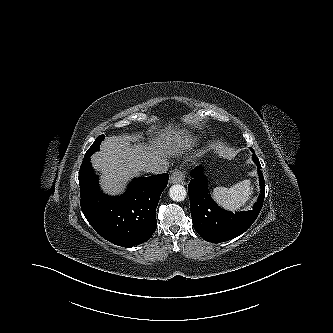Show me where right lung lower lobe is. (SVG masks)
<instances>
[{"label": "right lung lower lobe", "mask_w": 333, "mask_h": 333, "mask_svg": "<svg viewBox=\"0 0 333 333\" xmlns=\"http://www.w3.org/2000/svg\"><path fill=\"white\" fill-rule=\"evenodd\" d=\"M169 175L135 178L119 197L99 190L90 158L79 171L80 205L95 231L109 242L132 247L150 239L157 227L156 207Z\"/></svg>", "instance_id": "98d812e1"}]
</instances>
